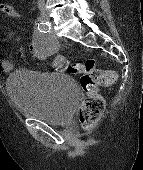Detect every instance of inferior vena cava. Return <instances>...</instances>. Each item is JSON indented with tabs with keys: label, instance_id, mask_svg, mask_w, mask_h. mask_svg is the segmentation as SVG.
Masks as SVG:
<instances>
[{
	"label": "inferior vena cava",
	"instance_id": "obj_1",
	"mask_svg": "<svg viewBox=\"0 0 143 170\" xmlns=\"http://www.w3.org/2000/svg\"><path fill=\"white\" fill-rule=\"evenodd\" d=\"M38 7L43 11L45 9V0H38Z\"/></svg>",
	"mask_w": 143,
	"mask_h": 170
}]
</instances>
